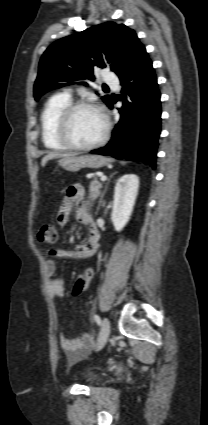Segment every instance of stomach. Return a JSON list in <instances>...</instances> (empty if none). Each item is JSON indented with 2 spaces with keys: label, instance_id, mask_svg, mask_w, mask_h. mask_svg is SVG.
I'll return each mask as SVG.
<instances>
[{
  "label": "stomach",
  "instance_id": "1",
  "mask_svg": "<svg viewBox=\"0 0 208 425\" xmlns=\"http://www.w3.org/2000/svg\"><path fill=\"white\" fill-rule=\"evenodd\" d=\"M108 163L110 159L99 155L72 156L59 160V165L70 172H78L83 168L99 169Z\"/></svg>",
  "mask_w": 208,
  "mask_h": 425
}]
</instances>
